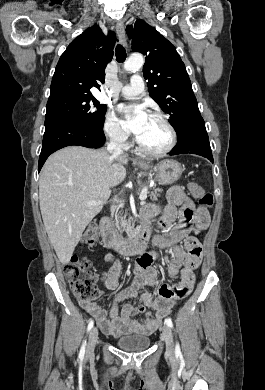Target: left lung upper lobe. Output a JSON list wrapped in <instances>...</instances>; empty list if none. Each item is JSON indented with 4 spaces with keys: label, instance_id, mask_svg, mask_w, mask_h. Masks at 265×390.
Returning <instances> with one entry per match:
<instances>
[{
    "label": "left lung upper lobe",
    "instance_id": "5c2ea615",
    "mask_svg": "<svg viewBox=\"0 0 265 390\" xmlns=\"http://www.w3.org/2000/svg\"><path fill=\"white\" fill-rule=\"evenodd\" d=\"M126 32L132 50L146 55L143 75L150 96L170 116L180 141L202 118L185 65L175 47L145 21L138 19Z\"/></svg>",
    "mask_w": 265,
    "mask_h": 390
}]
</instances>
